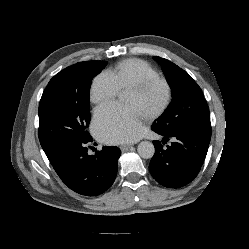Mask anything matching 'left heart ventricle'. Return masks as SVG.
Returning a JSON list of instances; mask_svg holds the SVG:
<instances>
[{"label": "left heart ventricle", "mask_w": 249, "mask_h": 249, "mask_svg": "<svg viewBox=\"0 0 249 249\" xmlns=\"http://www.w3.org/2000/svg\"><path fill=\"white\" fill-rule=\"evenodd\" d=\"M165 97V87L161 83H156L142 93L127 91L125 105L133 108L142 119H145L161 107Z\"/></svg>", "instance_id": "b2bd125f"}]
</instances>
